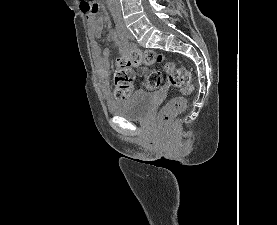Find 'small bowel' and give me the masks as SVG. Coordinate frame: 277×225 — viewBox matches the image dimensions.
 Returning <instances> with one entry per match:
<instances>
[{"mask_svg": "<svg viewBox=\"0 0 277 225\" xmlns=\"http://www.w3.org/2000/svg\"><path fill=\"white\" fill-rule=\"evenodd\" d=\"M86 19L90 25L93 56H94L96 64L100 67V73L103 74L109 68L110 51L108 49L102 51L100 45L95 40V38L100 36L102 33L104 19L103 18L96 19L95 15H93V14H87ZM108 34H109L110 39L114 42V44L116 46L121 45L120 37L115 30L110 29ZM105 97L110 98V94L107 91H105Z\"/></svg>", "mask_w": 277, "mask_h": 225, "instance_id": "1", "label": "small bowel"}]
</instances>
